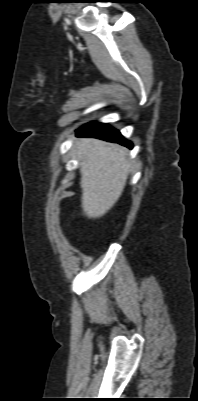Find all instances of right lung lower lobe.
<instances>
[{
    "instance_id": "98d812e1",
    "label": "right lung lower lobe",
    "mask_w": 198,
    "mask_h": 401,
    "mask_svg": "<svg viewBox=\"0 0 198 401\" xmlns=\"http://www.w3.org/2000/svg\"><path fill=\"white\" fill-rule=\"evenodd\" d=\"M76 132L79 136L99 138L132 148L131 142L125 140L119 131L111 128L107 124L97 122L89 123L79 128Z\"/></svg>"
}]
</instances>
